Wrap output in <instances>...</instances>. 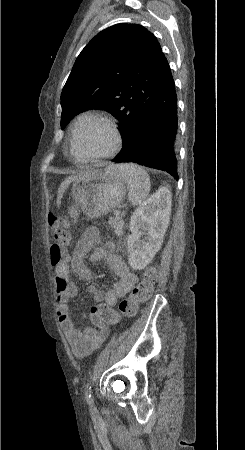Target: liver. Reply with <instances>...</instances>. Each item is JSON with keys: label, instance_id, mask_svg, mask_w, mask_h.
Segmentation results:
<instances>
[{"label": "liver", "instance_id": "liver-1", "mask_svg": "<svg viewBox=\"0 0 245 450\" xmlns=\"http://www.w3.org/2000/svg\"><path fill=\"white\" fill-rule=\"evenodd\" d=\"M89 173H90V172H89ZM89 173H83V174H80V175L70 176L69 178L65 179V180L61 183V185H60V187H59V189H58L57 204H58V205L60 204L61 199H62V197H63V194H64L65 190L67 189V187L69 186V184H70L71 182H73V181L76 180L77 178H80V177H82V176H85V175H87V174H89Z\"/></svg>", "mask_w": 245, "mask_h": 450}]
</instances>
